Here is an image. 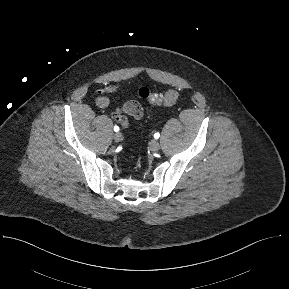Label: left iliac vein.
<instances>
[{"mask_svg":"<svg viewBox=\"0 0 289 289\" xmlns=\"http://www.w3.org/2000/svg\"><path fill=\"white\" fill-rule=\"evenodd\" d=\"M150 149H151L153 152H157V151L160 149V144H159L158 140L153 139V140L150 142Z\"/></svg>","mask_w":289,"mask_h":289,"instance_id":"left-iliac-vein-1","label":"left iliac vein"}]
</instances>
